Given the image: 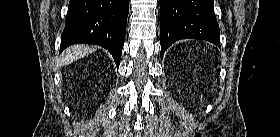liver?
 Here are the masks:
<instances>
[{
	"label": "liver",
	"instance_id": "6515ba94",
	"mask_svg": "<svg viewBox=\"0 0 280 137\" xmlns=\"http://www.w3.org/2000/svg\"><path fill=\"white\" fill-rule=\"evenodd\" d=\"M95 50L96 47H90L88 45H82V44L70 47L65 51V54L62 55L61 64L67 65L85 55L90 54Z\"/></svg>",
	"mask_w": 280,
	"mask_h": 137
}]
</instances>
